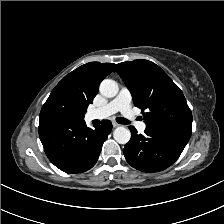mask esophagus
<instances>
[{
  "label": "esophagus",
  "instance_id": "obj_1",
  "mask_svg": "<svg viewBox=\"0 0 224 224\" xmlns=\"http://www.w3.org/2000/svg\"><path fill=\"white\" fill-rule=\"evenodd\" d=\"M112 125H113V127H114V128H116V127H118V126H119V124H118V123H116L115 121H113V122H112Z\"/></svg>",
  "mask_w": 224,
  "mask_h": 224
}]
</instances>
